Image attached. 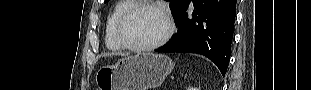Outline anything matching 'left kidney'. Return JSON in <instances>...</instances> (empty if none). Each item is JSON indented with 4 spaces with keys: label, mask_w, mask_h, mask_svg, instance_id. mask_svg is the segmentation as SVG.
Here are the masks:
<instances>
[{
    "label": "left kidney",
    "mask_w": 311,
    "mask_h": 90,
    "mask_svg": "<svg viewBox=\"0 0 311 90\" xmlns=\"http://www.w3.org/2000/svg\"><path fill=\"white\" fill-rule=\"evenodd\" d=\"M188 90H196V88H188Z\"/></svg>",
    "instance_id": "1"
}]
</instances>
